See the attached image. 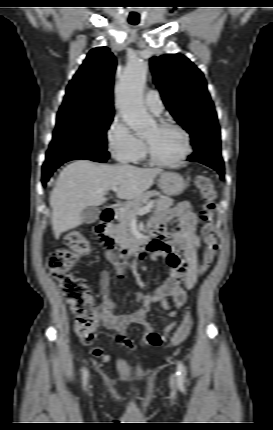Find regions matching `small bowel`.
<instances>
[{
  "label": "small bowel",
  "mask_w": 273,
  "mask_h": 430,
  "mask_svg": "<svg viewBox=\"0 0 273 430\" xmlns=\"http://www.w3.org/2000/svg\"><path fill=\"white\" fill-rule=\"evenodd\" d=\"M176 221V226L169 231L167 224ZM197 216L192 211L190 203L183 201L175 208L155 213L149 223L150 234L154 237L152 247V260L163 257L169 267V277L164 285L153 293L140 291L137 300L140 306L133 312L123 315L116 314L117 303L109 296L110 274L102 271L98 278L99 294L101 298L99 323L102 327L115 331L117 342L124 345L130 351H136L137 347L128 337L126 329L131 324H140L145 328L141 341L143 347H158L164 343L170 332L179 329L177 321H172L162 328V332L155 331L147 319V314L152 305L157 304L164 310H169L168 297H171L174 306L181 307L187 299V292L192 289L198 279L199 263L198 255L200 239L196 231ZM113 258V253H107ZM140 270L145 271L146 266L140 264ZM126 270L123 265L115 262L114 276L117 279L125 277ZM170 317H175L171 311ZM91 354L103 362L110 360L109 354L102 347H94Z\"/></svg>",
  "instance_id": "small-bowel-1"
}]
</instances>
